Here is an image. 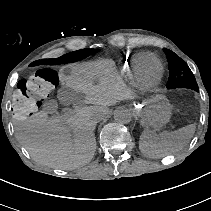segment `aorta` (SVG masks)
<instances>
[{
    "mask_svg": "<svg viewBox=\"0 0 211 211\" xmlns=\"http://www.w3.org/2000/svg\"><path fill=\"white\" fill-rule=\"evenodd\" d=\"M113 115L114 120L120 124H128L132 120V113L127 108L119 107L115 109Z\"/></svg>",
    "mask_w": 211,
    "mask_h": 211,
    "instance_id": "obj_1",
    "label": "aorta"
}]
</instances>
